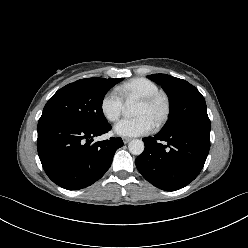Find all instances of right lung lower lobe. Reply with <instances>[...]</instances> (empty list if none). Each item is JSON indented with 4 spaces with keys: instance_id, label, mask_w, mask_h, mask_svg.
I'll return each mask as SVG.
<instances>
[{
    "instance_id": "right-lung-lower-lobe-1",
    "label": "right lung lower lobe",
    "mask_w": 248,
    "mask_h": 248,
    "mask_svg": "<svg viewBox=\"0 0 248 248\" xmlns=\"http://www.w3.org/2000/svg\"><path fill=\"white\" fill-rule=\"evenodd\" d=\"M109 123L85 126L67 119L39 121L37 149L43 169L57 185L68 190L90 186L109 169L121 138L93 143L107 133Z\"/></svg>"
}]
</instances>
